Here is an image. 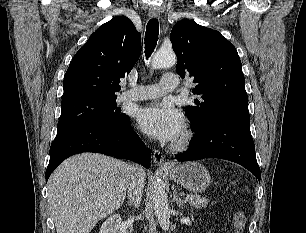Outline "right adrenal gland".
Segmentation results:
<instances>
[{
	"instance_id": "obj_1",
	"label": "right adrenal gland",
	"mask_w": 306,
	"mask_h": 233,
	"mask_svg": "<svg viewBox=\"0 0 306 233\" xmlns=\"http://www.w3.org/2000/svg\"><path fill=\"white\" fill-rule=\"evenodd\" d=\"M128 205L131 207L132 206V204L130 203V202H128Z\"/></svg>"
}]
</instances>
